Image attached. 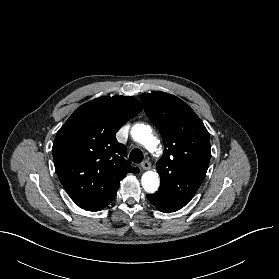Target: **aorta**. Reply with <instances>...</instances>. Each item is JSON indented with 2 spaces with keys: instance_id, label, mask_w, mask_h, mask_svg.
Returning <instances> with one entry per match:
<instances>
[{
  "instance_id": "1",
  "label": "aorta",
  "mask_w": 279,
  "mask_h": 279,
  "mask_svg": "<svg viewBox=\"0 0 279 279\" xmlns=\"http://www.w3.org/2000/svg\"><path fill=\"white\" fill-rule=\"evenodd\" d=\"M131 135L136 142L144 145L147 149H152L155 145V137L149 126L135 124L131 129ZM141 183L146 192L154 193L160 184L159 175L156 172L147 171L142 175Z\"/></svg>"
}]
</instances>
